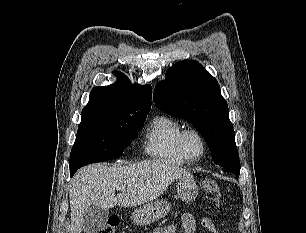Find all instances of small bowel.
Listing matches in <instances>:
<instances>
[{
	"label": "small bowel",
	"mask_w": 306,
	"mask_h": 233,
	"mask_svg": "<svg viewBox=\"0 0 306 233\" xmlns=\"http://www.w3.org/2000/svg\"><path fill=\"white\" fill-rule=\"evenodd\" d=\"M201 225L206 230L210 231L211 233H220L217 230L213 220L208 217H204L201 220ZM182 228H183L184 233H194L195 232L196 221L192 214L186 213L182 216ZM157 230H159L160 233H176V226L171 224L166 227L158 228Z\"/></svg>",
	"instance_id": "1"
}]
</instances>
